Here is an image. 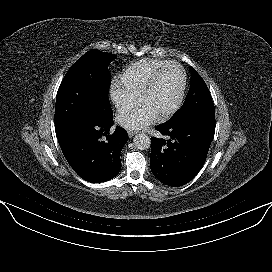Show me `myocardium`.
Returning <instances> with one entry per match:
<instances>
[{
  "label": "myocardium",
  "instance_id": "myocardium-1",
  "mask_svg": "<svg viewBox=\"0 0 272 272\" xmlns=\"http://www.w3.org/2000/svg\"><path fill=\"white\" fill-rule=\"evenodd\" d=\"M171 66H176L181 71L182 84H181V88H180V92H179V96L177 98V101L175 102V104L171 108H169L165 112L158 115V118L160 120H165V119L171 117L172 115H174L183 104L185 93H186V88H187V74H186L184 68L182 67V65H180L177 62L166 63L163 67H161L155 73V75L152 77V79L148 82V84L143 88V90L140 93V101L142 102L145 99V97L156 87V85L158 84V82H159L161 76L163 75V73L165 72V70Z\"/></svg>",
  "mask_w": 272,
  "mask_h": 272
}]
</instances>
